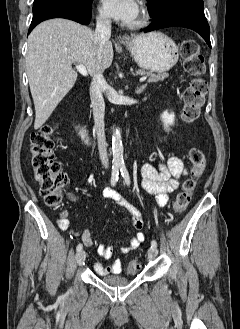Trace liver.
<instances>
[{
  "mask_svg": "<svg viewBox=\"0 0 240 329\" xmlns=\"http://www.w3.org/2000/svg\"><path fill=\"white\" fill-rule=\"evenodd\" d=\"M93 31L76 22L51 19L39 24L28 37L26 69L35 106L34 129H39L74 86L77 72L72 63L84 65L92 75L97 68ZM107 41L101 52V71L113 61Z\"/></svg>",
  "mask_w": 240,
  "mask_h": 329,
  "instance_id": "1",
  "label": "liver"
}]
</instances>
